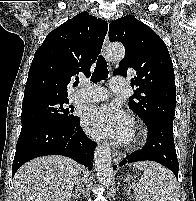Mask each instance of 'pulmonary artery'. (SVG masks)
<instances>
[{
    "label": "pulmonary artery",
    "instance_id": "pulmonary-artery-1",
    "mask_svg": "<svg viewBox=\"0 0 196 201\" xmlns=\"http://www.w3.org/2000/svg\"><path fill=\"white\" fill-rule=\"evenodd\" d=\"M126 82L123 78H113L110 81V89L114 93L125 89ZM109 96L108 91L103 87L91 85L87 82L82 83L81 87L73 94L74 102H96L103 101Z\"/></svg>",
    "mask_w": 196,
    "mask_h": 201
}]
</instances>
